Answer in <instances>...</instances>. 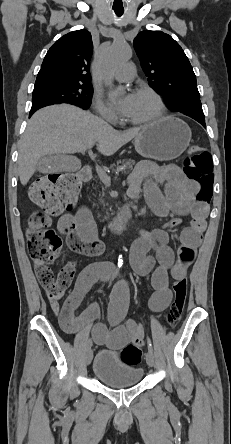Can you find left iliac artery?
<instances>
[{
  "mask_svg": "<svg viewBox=\"0 0 231 444\" xmlns=\"http://www.w3.org/2000/svg\"><path fill=\"white\" fill-rule=\"evenodd\" d=\"M148 349H149L150 351H153V347H152V344H151L150 339H148Z\"/></svg>",
  "mask_w": 231,
  "mask_h": 444,
  "instance_id": "1",
  "label": "left iliac artery"
}]
</instances>
